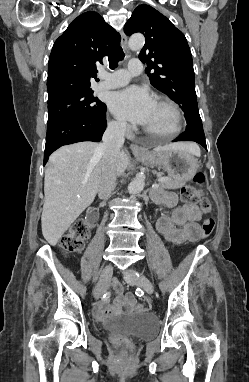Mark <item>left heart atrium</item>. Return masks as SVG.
Listing matches in <instances>:
<instances>
[{"label":"left heart atrium","instance_id":"1","mask_svg":"<svg viewBox=\"0 0 249 382\" xmlns=\"http://www.w3.org/2000/svg\"><path fill=\"white\" fill-rule=\"evenodd\" d=\"M155 103L146 88L130 86L111 95L109 108L120 119L144 125L149 119Z\"/></svg>","mask_w":249,"mask_h":382}]
</instances>
